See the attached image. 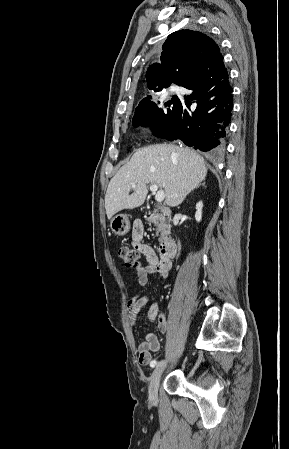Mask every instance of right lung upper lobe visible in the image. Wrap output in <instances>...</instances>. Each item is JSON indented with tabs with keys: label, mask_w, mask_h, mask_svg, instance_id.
Wrapping results in <instances>:
<instances>
[{
	"label": "right lung upper lobe",
	"mask_w": 289,
	"mask_h": 449,
	"mask_svg": "<svg viewBox=\"0 0 289 449\" xmlns=\"http://www.w3.org/2000/svg\"><path fill=\"white\" fill-rule=\"evenodd\" d=\"M162 49L161 64H153L146 73L147 85L155 92L169 87L171 83L183 86L204 81L224 65L218 45L201 32H173Z\"/></svg>",
	"instance_id": "obj_1"
}]
</instances>
